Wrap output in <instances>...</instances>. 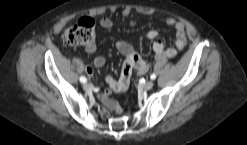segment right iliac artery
<instances>
[{
	"label": "right iliac artery",
	"mask_w": 247,
	"mask_h": 145,
	"mask_svg": "<svg viewBox=\"0 0 247 145\" xmlns=\"http://www.w3.org/2000/svg\"><path fill=\"white\" fill-rule=\"evenodd\" d=\"M86 81H87V79L84 76H81L80 77V82L81 83H85Z\"/></svg>",
	"instance_id": "1"
}]
</instances>
